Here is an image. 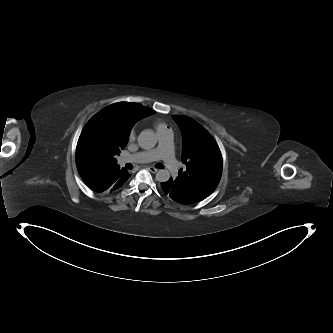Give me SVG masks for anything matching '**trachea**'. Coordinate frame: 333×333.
<instances>
[{
    "instance_id": "1",
    "label": "trachea",
    "mask_w": 333,
    "mask_h": 333,
    "mask_svg": "<svg viewBox=\"0 0 333 333\" xmlns=\"http://www.w3.org/2000/svg\"><path fill=\"white\" fill-rule=\"evenodd\" d=\"M156 167L157 168H164V165L159 163V164L156 165Z\"/></svg>"
}]
</instances>
